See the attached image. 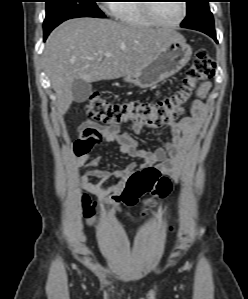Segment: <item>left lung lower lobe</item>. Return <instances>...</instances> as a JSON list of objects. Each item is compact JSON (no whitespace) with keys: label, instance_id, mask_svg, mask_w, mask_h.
Wrapping results in <instances>:
<instances>
[{"label":"left lung lower lobe","instance_id":"0a47b994","mask_svg":"<svg viewBox=\"0 0 248 299\" xmlns=\"http://www.w3.org/2000/svg\"><path fill=\"white\" fill-rule=\"evenodd\" d=\"M201 32L206 33L207 35H209L210 37H212L215 41H217L215 30H211V29L206 28V29H202Z\"/></svg>","mask_w":248,"mask_h":299}]
</instances>
